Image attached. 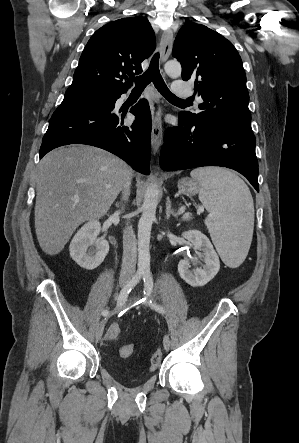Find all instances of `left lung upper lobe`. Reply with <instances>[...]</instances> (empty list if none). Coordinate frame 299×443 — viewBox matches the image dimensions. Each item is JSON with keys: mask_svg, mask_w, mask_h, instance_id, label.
Returning a JSON list of instances; mask_svg holds the SVG:
<instances>
[{"mask_svg": "<svg viewBox=\"0 0 299 443\" xmlns=\"http://www.w3.org/2000/svg\"><path fill=\"white\" fill-rule=\"evenodd\" d=\"M172 55L182 65V79H196L195 89L204 101L199 104L201 112H183L189 119L251 124L245 71L229 40L204 25L187 23L175 39Z\"/></svg>", "mask_w": 299, "mask_h": 443, "instance_id": "left-lung-upper-lobe-1", "label": "left lung upper lobe"}]
</instances>
